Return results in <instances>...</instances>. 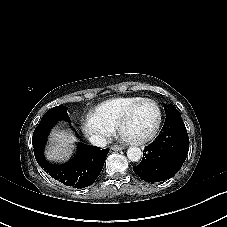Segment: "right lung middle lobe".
Returning <instances> with one entry per match:
<instances>
[{
  "label": "right lung middle lobe",
  "instance_id": "dd1d6c3e",
  "mask_svg": "<svg viewBox=\"0 0 227 227\" xmlns=\"http://www.w3.org/2000/svg\"><path fill=\"white\" fill-rule=\"evenodd\" d=\"M59 120L70 121L67 114V108L65 106H57L49 109L42 117L37 127L54 125Z\"/></svg>",
  "mask_w": 227,
  "mask_h": 227
}]
</instances>
